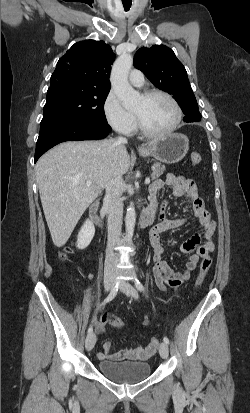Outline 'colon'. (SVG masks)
<instances>
[{
	"label": "colon",
	"instance_id": "5ec220e1",
	"mask_svg": "<svg viewBox=\"0 0 250 413\" xmlns=\"http://www.w3.org/2000/svg\"><path fill=\"white\" fill-rule=\"evenodd\" d=\"M191 162L193 164H199L201 162V155L198 153H193L191 155ZM71 252L70 249L65 250V252H63L61 254V258L62 259H67L68 254ZM212 265V259L209 255H206L202 258L201 263H200V268H199V274L198 277L196 279L195 282V286L199 287L203 281L205 280V277L208 273V271L210 270ZM103 325H106L107 323H111L113 325L114 329H124L125 328V323L122 321V318L120 315H111L109 313H105L102 317H101V321H100ZM159 344V340L155 337L151 338L150 340V345L152 347H157Z\"/></svg>",
	"mask_w": 250,
	"mask_h": 413
}]
</instances>
